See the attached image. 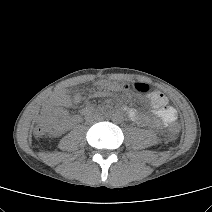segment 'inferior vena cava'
Wrapping results in <instances>:
<instances>
[{
	"label": "inferior vena cava",
	"mask_w": 212,
	"mask_h": 212,
	"mask_svg": "<svg viewBox=\"0 0 212 212\" xmlns=\"http://www.w3.org/2000/svg\"><path fill=\"white\" fill-rule=\"evenodd\" d=\"M90 121L94 122V123H99L100 122V116L99 115H91Z\"/></svg>",
	"instance_id": "obj_1"
}]
</instances>
